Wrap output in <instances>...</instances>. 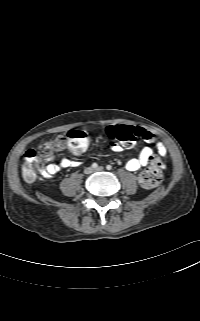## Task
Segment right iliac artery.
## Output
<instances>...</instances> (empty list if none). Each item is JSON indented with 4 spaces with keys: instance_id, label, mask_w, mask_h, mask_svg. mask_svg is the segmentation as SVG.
I'll list each match as a JSON object with an SVG mask.
<instances>
[{
    "instance_id": "82829eb1",
    "label": "right iliac artery",
    "mask_w": 200,
    "mask_h": 321,
    "mask_svg": "<svg viewBox=\"0 0 200 321\" xmlns=\"http://www.w3.org/2000/svg\"><path fill=\"white\" fill-rule=\"evenodd\" d=\"M92 167H93V168H97V167H98L97 163H93V164H92Z\"/></svg>"
}]
</instances>
